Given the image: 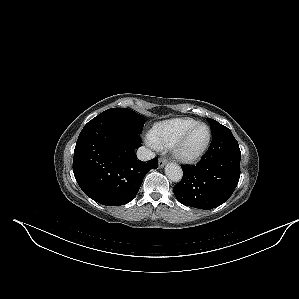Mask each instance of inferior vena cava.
<instances>
[{"label": "inferior vena cava", "mask_w": 299, "mask_h": 299, "mask_svg": "<svg viewBox=\"0 0 299 299\" xmlns=\"http://www.w3.org/2000/svg\"><path fill=\"white\" fill-rule=\"evenodd\" d=\"M137 157L141 161H148V160L153 159L155 157V154L151 150L142 146V147H139L137 150Z\"/></svg>", "instance_id": "602c4592"}]
</instances>
